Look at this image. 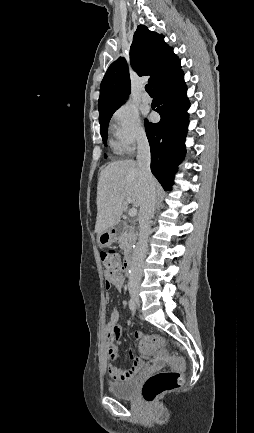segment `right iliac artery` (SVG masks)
Instances as JSON below:
<instances>
[{"instance_id": "82829eb1", "label": "right iliac artery", "mask_w": 254, "mask_h": 433, "mask_svg": "<svg viewBox=\"0 0 254 433\" xmlns=\"http://www.w3.org/2000/svg\"><path fill=\"white\" fill-rule=\"evenodd\" d=\"M129 308H130V310H131L132 312H135V310H136V305H135V302H134L133 299H130V300H129Z\"/></svg>"}]
</instances>
